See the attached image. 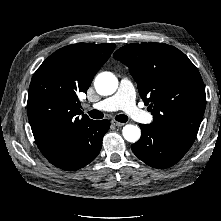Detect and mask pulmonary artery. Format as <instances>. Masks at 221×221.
Here are the masks:
<instances>
[{"label": "pulmonary artery", "mask_w": 221, "mask_h": 221, "mask_svg": "<svg viewBox=\"0 0 221 221\" xmlns=\"http://www.w3.org/2000/svg\"><path fill=\"white\" fill-rule=\"evenodd\" d=\"M99 111H117L122 109L134 121L150 123L152 115L137 106L135 101V91L132 83L128 79H122L118 92L92 106Z\"/></svg>", "instance_id": "e3ab8cb5"}]
</instances>
